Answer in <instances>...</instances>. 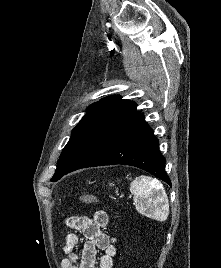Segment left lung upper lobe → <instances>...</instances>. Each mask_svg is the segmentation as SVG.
<instances>
[{"mask_svg": "<svg viewBox=\"0 0 221 268\" xmlns=\"http://www.w3.org/2000/svg\"><path fill=\"white\" fill-rule=\"evenodd\" d=\"M134 109H136L135 102L122 100L118 95L108 96L89 106L86 115L73 129L72 136L60 155L51 181L59 180L68 167L104 129Z\"/></svg>", "mask_w": 221, "mask_h": 268, "instance_id": "1", "label": "left lung upper lobe"}]
</instances>
